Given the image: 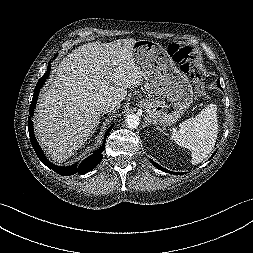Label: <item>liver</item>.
Instances as JSON below:
<instances>
[{
    "label": "liver",
    "instance_id": "6515ba94",
    "mask_svg": "<svg viewBox=\"0 0 253 253\" xmlns=\"http://www.w3.org/2000/svg\"><path fill=\"white\" fill-rule=\"evenodd\" d=\"M135 42L84 44L59 63L40 94L34 120L37 139L53 161H66L89 139L103 101L121 102L127 88L142 84L143 72L132 55Z\"/></svg>",
    "mask_w": 253,
    "mask_h": 253
}]
</instances>
